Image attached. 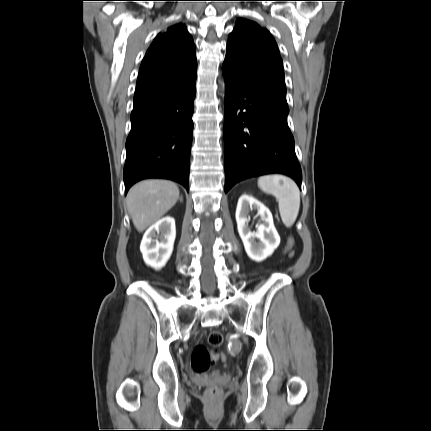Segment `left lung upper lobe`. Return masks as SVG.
Returning <instances> with one entry per match:
<instances>
[{"label":"left lung upper lobe","mask_w":431,"mask_h":431,"mask_svg":"<svg viewBox=\"0 0 431 431\" xmlns=\"http://www.w3.org/2000/svg\"><path fill=\"white\" fill-rule=\"evenodd\" d=\"M224 74L252 89L286 102L283 62L268 30L239 19L229 35Z\"/></svg>","instance_id":"left-lung-upper-lobe-1"}]
</instances>
